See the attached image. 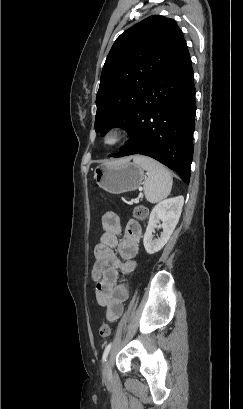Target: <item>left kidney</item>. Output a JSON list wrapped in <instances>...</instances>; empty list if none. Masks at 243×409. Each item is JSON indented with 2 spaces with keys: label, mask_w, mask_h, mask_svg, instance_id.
<instances>
[{
  "label": "left kidney",
  "mask_w": 243,
  "mask_h": 409,
  "mask_svg": "<svg viewBox=\"0 0 243 409\" xmlns=\"http://www.w3.org/2000/svg\"><path fill=\"white\" fill-rule=\"evenodd\" d=\"M184 203L183 196L166 199L158 203L151 211L148 226L143 238V244L148 254H154L161 250L173 233ZM162 222L160 226L157 224ZM162 228L163 232L157 239H153L152 233L155 228Z\"/></svg>",
  "instance_id": "5707ae66"
}]
</instances>
